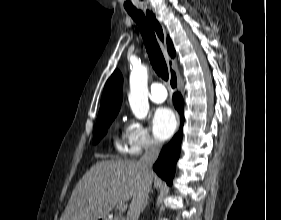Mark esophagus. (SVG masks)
Wrapping results in <instances>:
<instances>
[{"label":"esophagus","instance_id":"34e87169","mask_svg":"<svg viewBox=\"0 0 281 220\" xmlns=\"http://www.w3.org/2000/svg\"><path fill=\"white\" fill-rule=\"evenodd\" d=\"M143 10L154 30V33L156 35L159 46L166 59V63L168 66V71H169L170 88L173 92H177L178 88H179L178 77H177V73H176L175 66H174L175 61H174V59L171 58V56L168 53L167 44H166V30H165L164 26L162 25L158 16L155 14V12L151 8L146 6V7H144Z\"/></svg>","mask_w":281,"mask_h":220}]
</instances>
